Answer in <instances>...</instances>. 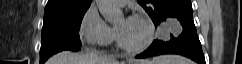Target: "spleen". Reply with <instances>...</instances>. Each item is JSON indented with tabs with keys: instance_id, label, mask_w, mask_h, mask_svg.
Wrapping results in <instances>:
<instances>
[{
	"instance_id": "spleen-1",
	"label": "spleen",
	"mask_w": 242,
	"mask_h": 64,
	"mask_svg": "<svg viewBox=\"0 0 242 64\" xmlns=\"http://www.w3.org/2000/svg\"><path fill=\"white\" fill-rule=\"evenodd\" d=\"M152 64H192L191 61L178 55H163L155 57Z\"/></svg>"
}]
</instances>
